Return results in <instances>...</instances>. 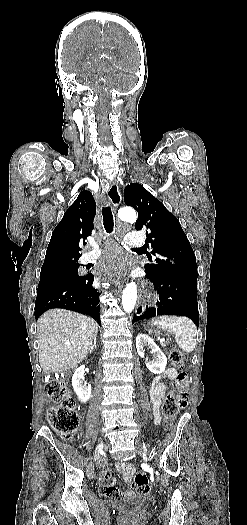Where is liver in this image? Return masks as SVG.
Listing matches in <instances>:
<instances>
[{
  "mask_svg": "<svg viewBox=\"0 0 247 525\" xmlns=\"http://www.w3.org/2000/svg\"><path fill=\"white\" fill-rule=\"evenodd\" d=\"M98 327L94 319L74 311L49 309L43 313L37 321L42 371L60 373L77 367L87 357Z\"/></svg>",
  "mask_w": 247,
  "mask_h": 525,
  "instance_id": "obj_1",
  "label": "liver"
}]
</instances>
